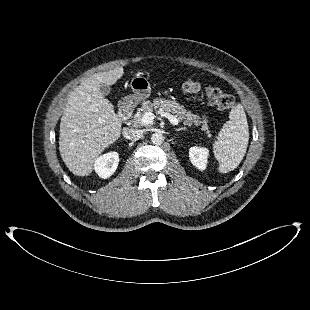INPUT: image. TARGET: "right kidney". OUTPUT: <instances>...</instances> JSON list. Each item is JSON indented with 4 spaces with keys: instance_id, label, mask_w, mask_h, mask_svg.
<instances>
[{
    "instance_id": "obj_1",
    "label": "right kidney",
    "mask_w": 310,
    "mask_h": 310,
    "mask_svg": "<svg viewBox=\"0 0 310 310\" xmlns=\"http://www.w3.org/2000/svg\"><path fill=\"white\" fill-rule=\"evenodd\" d=\"M119 155L117 152H109L98 157L94 162V170L103 179L109 178L117 169Z\"/></svg>"
}]
</instances>
